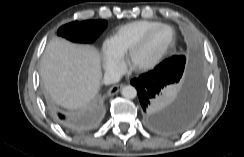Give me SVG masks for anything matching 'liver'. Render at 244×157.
Here are the masks:
<instances>
[{"mask_svg": "<svg viewBox=\"0 0 244 157\" xmlns=\"http://www.w3.org/2000/svg\"><path fill=\"white\" fill-rule=\"evenodd\" d=\"M40 75L55 103L78 109L93 100L100 90L101 57L93 46L53 39L42 55Z\"/></svg>", "mask_w": 244, "mask_h": 157, "instance_id": "1", "label": "liver"}]
</instances>
